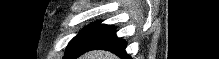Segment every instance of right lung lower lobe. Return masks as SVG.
<instances>
[{
  "instance_id": "right-lung-lower-lobe-1",
  "label": "right lung lower lobe",
  "mask_w": 219,
  "mask_h": 59,
  "mask_svg": "<svg viewBox=\"0 0 219 59\" xmlns=\"http://www.w3.org/2000/svg\"><path fill=\"white\" fill-rule=\"evenodd\" d=\"M126 42L116 36V31H113L109 35L105 36L99 42H97L91 50L103 49L111 51L112 53L120 56L123 59H131L125 52Z\"/></svg>"
}]
</instances>
